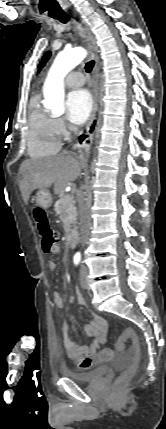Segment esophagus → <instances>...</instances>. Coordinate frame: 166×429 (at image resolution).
I'll return each instance as SVG.
<instances>
[{
	"label": "esophagus",
	"mask_w": 166,
	"mask_h": 429,
	"mask_svg": "<svg viewBox=\"0 0 166 429\" xmlns=\"http://www.w3.org/2000/svg\"><path fill=\"white\" fill-rule=\"evenodd\" d=\"M82 24L84 26V30L88 36V38L90 39V45L92 50L95 53V64L93 67V77H92V81H93V108H92V112L91 115L89 117V120L87 122L86 125V130L88 131L90 126L92 125L95 116H96V112L98 109V80H99V49L96 43V38L93 35V33L90 31V28L88 27V25L85 23L84 20H82Z\"/></svg>",
	"instance_id": "obj_1"
}]
</instances>
